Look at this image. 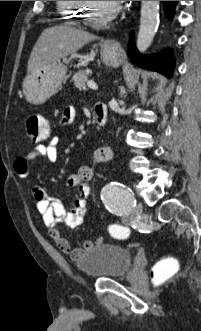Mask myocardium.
I'll use <instances>...</instances> for the list:
<instances>
[{"mask_svg": "<svg viewBox=\"0 0 201 331\" xmlns=\"http://www.w3.org/2000/svg\"><path fill=\"white\" fill-rule=\"evenodd\" d=\"M80 2H82L86 6L82 13L83 14L82 19L84 20V22L86 24H88L90 26L100 27V26L106 25L108 22H110L112 19H114L116 17V15L118 14V11H119V8L116 7L113 11H111L110 13L105 15L103 18L95 20V19H92L88 13L91 2L90 1H80Z\"/></svg>", "mask_w": 201, "mask_h": 331, "instance_id": "myocardium-1", "label": "myocardium"}]
</instances>
